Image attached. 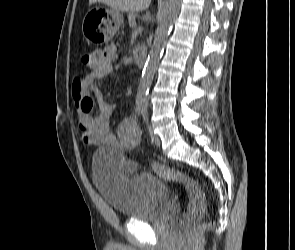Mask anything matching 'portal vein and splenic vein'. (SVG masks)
<instances>
[{"label":"portal vein and splenic vein","mask_w":295,"mask_h":250,"mask_svg":"<svg viewBox=\"0 0 295 250\" xmlns=\"http://www.w3.org/2000/svg\"><path fill=\"white\" fill-rule=\"evenodd\" d=\"M130 26H132V27H136V22H132V23L130 24Z\"/></svg>","instance_id":"18ae733b"}]
</instances>
